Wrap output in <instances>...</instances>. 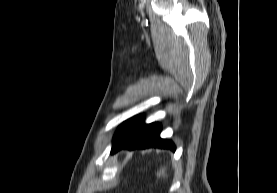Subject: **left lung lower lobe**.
<instances>
[{
    "mask_svg": "<svg viewBox=\"0 0 277 193\" xmlns=\"http://www.w3.org/2000/svg\"><path fill=\"white\" fill-rule=\"evenodd\" d=\"M161 126L158 123L145 124L142 115L135 116L122 123L112 140L111 153L121 149L167 148L175 151L173 142L161 139Z\"/></svg>",
    "mask_w": 277,
    "mask_h": 193,
    "instance_id": "1",
    "label": "left lung lower lobe"
}]
</instances>
